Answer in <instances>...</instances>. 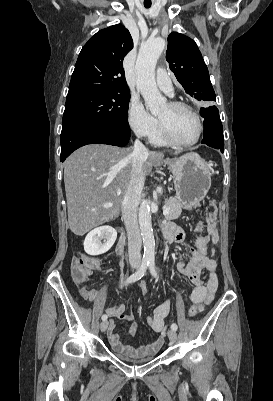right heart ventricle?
<instances>
[{"label":"right heart ventricle","mask_w":273,"mask_h":401,"mask_svg":"<svg viewBox=\"0 0 273 401\" xmlns=\"http://www.w3.org/2000/svg\"><path fill=\"white\" fill-rule=\"evenodd\" d=\"M150 142L156 146H169L171 143L167 142L160 130L159 124L154 132V134L150 137Z\"/></svg>","instance_id":"1"}]
</instances>
